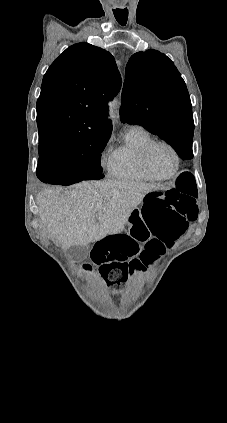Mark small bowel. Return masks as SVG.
Wrapping results in <instances>:
<instances>
[{
  "instance_id": "1",
  "label": "small bowel",
  "mask_w": 227,
  "mask_h": 423,
  "mask_svg": "<svg viewBox=\"0 0 227 423\" xmlns=\"http://www.w3.org/2000/svg\"><path fill=\"white\" fill-rule=\"evenodd\" d=\"M135 222H138L140 225L144 226V227L147 229V231H148V239H149V240H156V239H157L156 237H154L153 235H151L150 231L148 230L147 224H146V222L142 219V217H138V218H137V220H136ZM157 240H158V239H157ZM165 248H166V247H165V245L163 244V246H162L163 252L165 251Z\"/></svg>"
}]
</instances>
